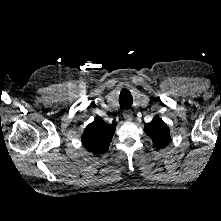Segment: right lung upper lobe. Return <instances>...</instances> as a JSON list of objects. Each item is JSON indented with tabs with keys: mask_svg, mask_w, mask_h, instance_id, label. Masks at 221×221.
<instances>
[{
	"mask_svg": "<svg viewBox=\"0 0 221 221\" xmlns=\"http://www.w3.org/2000/svg\"><path fill=\"white\" fill-rule=\"evenodd\" d=\"M116 123L107 124L100 117L90 123L82 135V144L95 155L103 154L109 148Z\"/></svg>",
	"mask_w": 221,
	"mask_h": 221,
	"instance_id": "1",
	"label": "right lung upper lobe"
}]
</instances>
